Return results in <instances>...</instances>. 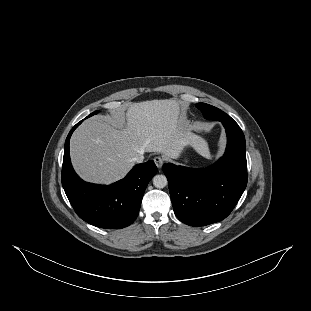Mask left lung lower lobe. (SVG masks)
Masks as SVG:
<instances>
[{
	"label": "left lung lower lobe",
	"instance_id": "1",
	"mask_svg": "<svg viewBox=\"0 0 311 311\" xmlns=\"http://www.w3.org/2000/svg\"><path fill=\"white\" fill-rule=\"evenodd\" d=\"M220 122L226 130L227 147L213 166L192 169L168 163L162 167L175 215L190 226H204L226 218L247 185L243 131L229 115Z\"/></svg>",
	"mask_w": 311,
	"mask_h": 311
}]
</instances>
